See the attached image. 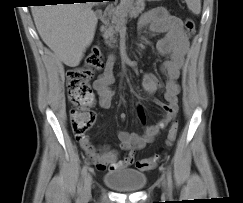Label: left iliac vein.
<instances>
[{"mask_svg":"<svg viewBox=\"0 0 243 203\" xmlns=\"http://www.w3.org/2000/svg\"><path fill=\"white\" fill-rule=\"evenodd\" d=\"M163 187L166 190V181H163Z\"/></svg>","mask_w":243,"mask_h":203,"instance_id":"4c4485c4","label":"left iliac vein"}]
</instances>
